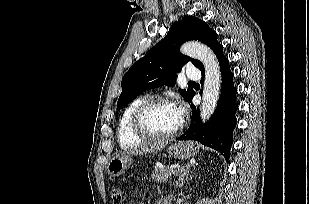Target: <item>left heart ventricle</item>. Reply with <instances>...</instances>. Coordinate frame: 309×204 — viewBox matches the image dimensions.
<instances>
[{
  "mask_svg": "<svg viewBox=\"0 0 309 204\" xmlns=\"http://www.w3.org/2000/svg\"><path fill=\"white\" fill-rule=\"evenodd\" d=\"M181 119L175 106L161 105L150 109L145 115L147 128L156 134H164L175 129Z\"/></svg>",
  "mask_w": 309,
  "mask_h": 204,
  "instance_id": "b2bd125f",
  "label": "left heart ventricle"
}]
</instances>
